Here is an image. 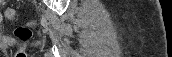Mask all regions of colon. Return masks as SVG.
Masks as SVG:
<instances>
[{"label": "colon", "instance_id": "5ec220e1", "mask_svg": "<svg viewBox=\"0 0 172 57\" xmlns=\"http://www.w3.org/2000/svg\"><path fill=\"white\" fill-rule=\"evenodd\" d=\"M4 15L8 19H15L17 17V12L16 10L9 8L5 10ZM14 34L18 39V41L20 42V48L16 51L15 57H27L24 46L32 37V26L31 25L18 26L15 29Z\"/></svg>", "mask_w": 172, "mask_h": 57}]
</instances>
